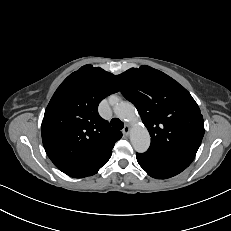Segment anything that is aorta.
Listing matches in <instances>:
<instances>
[{
  "label": "aorta",
  "instance_id": "762f6f07",
  "mask_svg": "<svg viewBox=\"0 0 231 231\" xmlns=\"http://www.w3.org/2000/svg\"><path fill=\"white\" fill-rule=\"evenodd\" d=\"M115 115L132 124L130 140L136 152L144 153L148 150L151 142L150 134L144 125H137L138 117L135 107L127 101L116 102L113 105Z\"/></svg>",
  "mask_w": 231,
  "mask_h": 231
}]
</instances>
